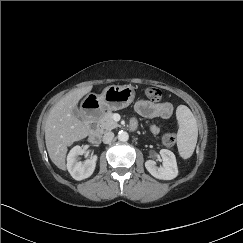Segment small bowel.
Segmentation results:
<instances>
[{
    "instance_id": "1",
    "label": "small bowel",
    "mask_w": 243,
    "mask_h": 243,
    "mask_svg": "<svg viewBox=\"0 0 243 243\" xmlns=\"http://www.w3.org/2000/svg\"><path fill=\"white\" fill-rule=\"evenodd\" d=\"M136 112L144 118H162L169 119L173 115V105L169 102L155 103L151 101L140 100L135 105ZM151 131L159 133L160 129L152 125Z\"/></svg>"
}]
</instances>
